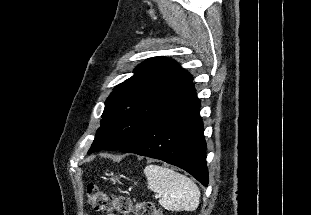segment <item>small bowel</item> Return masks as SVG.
I'll return each mask as SVG.
<instances>
[{
    "label": "small bowel",
    "mask_w": 311,
    "mask_h": 215,
    "mask_svg": "<svg viewBox=\"0 0 311 215\" xmlns=\"http://www.w3.org/2000/svg\"><path fill=\"white\" fill-rule=\"evenodd\" d=\"M109 215H115V214L111 213V214H109Z\"/></svg>",
    "instance_id": "1"
}]
</instances>
